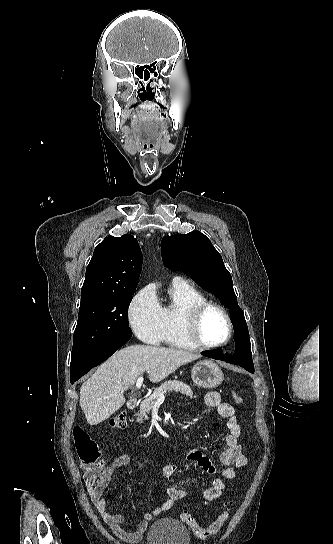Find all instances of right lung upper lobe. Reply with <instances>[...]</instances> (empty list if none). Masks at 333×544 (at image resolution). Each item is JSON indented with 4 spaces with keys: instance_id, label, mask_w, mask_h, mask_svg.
<instances>
[{
    "instance_id": "right-lung-upper-lobe-1",
    "label": "right lung upper lobe",
    "mask_w": 333,
    "mask_h": 544,
    "mask_svg": "<svg viewBox=\"0 0 333 544\" xmlns=\"http://www.w3.org/2000/svg\"><path fill=\"white\" fill-rule=\"evenodd\" d=\"M141 268V249L132 235L106 237L96 246L87 266L80 304L108 293L134 291Z\"/></svg>"
}]
</instances>
